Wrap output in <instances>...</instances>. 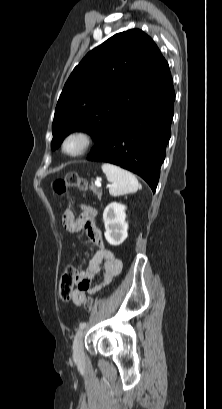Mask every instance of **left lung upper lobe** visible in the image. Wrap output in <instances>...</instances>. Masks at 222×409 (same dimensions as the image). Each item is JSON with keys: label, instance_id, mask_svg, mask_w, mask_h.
I'll return each mask as SVG.
<instances>
[{"label": "left lung upper lobe", "instance_id": "left-lung-upper-lobe-1", "mask_svg": "<svg viewBox=\"0 0 222 409\" xmlns=\"http://www.w3.org/2000/svg\"><path fill=\"white\" fill-rule=\"evenodd\" d=\"M170 74L154 41L139 29L115 34L74 68L58 100L51 147L74 130L99 138L124 106Z\"/></svg>", "mask_w": 222, "mask_h": 409}]
</instances>
